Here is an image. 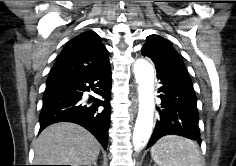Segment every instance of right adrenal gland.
<instances>
[{
	"instance_id": "obj_1",
	"label": "right adrenal gland",
	"mask_w": 236,
	"mask_h": 166,
	"mask_svg": "<svg viewBox=\"0 0 236 166\" xmlns=\"http://www.w3.org/2000/svg\"><path fill=\"white\" fill-rule=\"evenodd\" d=\"M92 165H93V166H97V160L94 161ZM92 165H89V166H92Z\"/></svg>"
}]
</instances>
